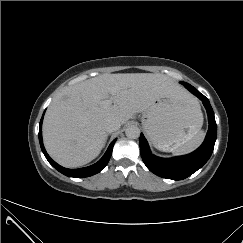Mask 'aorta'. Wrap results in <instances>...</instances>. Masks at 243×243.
<instances>
[{"mask_svg": "<svg viewBox=\"0 0 243 243\" xmlns=\"http://www.w3.org/2000/svg\"><path fill=\"white\" fill-rule=\"evenodd\" d=\"M125 134L130 139H137L140 136V129L137 126L131 125L126 128Z\"/></svg>", "mask_w": 243, "mask_h": 243, "instance_id": "obj_1", "label": "aorta"}]
</instances>
